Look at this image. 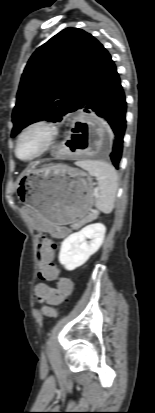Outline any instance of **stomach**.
Masks as SVG:
<instances>
[{
    "label": "stomach",
    "instance_id": "1",
    "mask_svg": "<svg viewBox=\"0 0 155 413\" xmlns=\"http://www.w3.org/2000/svg\"><path fill=\"white\" fill-rule=\"evenodd\" d=\"M17 195L36 214L60 225L84 219L97 201L91 177L62 164L28 168L19 178Z\"/></svg>",
    "mask_w": 155,
    "mask_h": 413
}]
</instances>
